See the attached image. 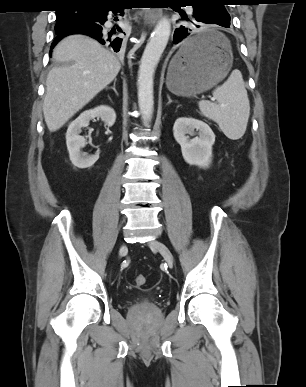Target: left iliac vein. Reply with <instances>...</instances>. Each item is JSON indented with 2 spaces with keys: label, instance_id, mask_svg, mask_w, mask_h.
<instances>
[{
  "label": "left iliac vein",
  "instance_id": "1",
  "mask_svg": "<svg viewBox=\"0 0 306 387\" xmlns=\"http://www.w3.org/2000/svg\"><path fill=\"white\" fill-rule=\"evenodd\" d=\"M149 246L150 248L157 250L169 265L173 264L172 253L165 244L158 240H152L149 242Z\"/></svg>",
  "mask_w": 306,
  "mask_h": 387
}]
</instances>
